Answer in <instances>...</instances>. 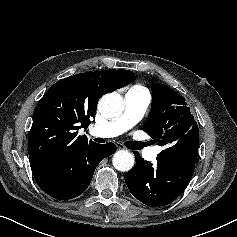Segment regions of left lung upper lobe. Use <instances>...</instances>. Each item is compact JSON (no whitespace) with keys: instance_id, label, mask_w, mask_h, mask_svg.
I'll return each instance as SVG.
<instances>
[{"instance_id":"5c2ea615","label":"left lung upper lobe","mask_w":237,"mask_h":237,"mask_svg":"<svg viewBox=\"0 0 237 237\" xmlns=\"http://www.w3.org/2000/svg\"><path fill=\"white\" fill-rule=\"evenodd\" d=\"M152 91V110L143 130L164 146L157 157L168 162L195 163L199 130L185 98L160 83L154 84Z\"/></svg>"}]
</instances>
